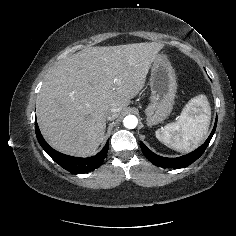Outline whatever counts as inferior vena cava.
I'll return each mask as SVG.
<instances>
[{
    "label": "inferior vena cava",
    "instance_id": "602c4592",
    "mask_svg": "<svg viewBox=\"0 0 236 236\" xmlns=\"http://www.w3.org/2000/svg\"><path fill=\"white\" fill-rule=\"evenodd\" d=\"M117 112H118L117 108L110 109L109 112L107 113V120L112 121V120L116 119L118 117Z\"/></svg>",
    "mask_w": 236,
    "mask_h": 236
}]
</instances>
